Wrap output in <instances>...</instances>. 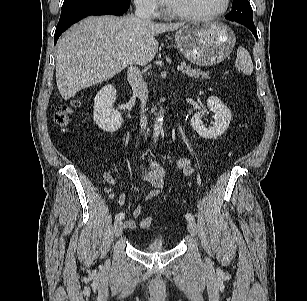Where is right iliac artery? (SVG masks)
Returning <instances> with one entry per match:
<instances>
[{"label":"right iliac artery","instance_id":"1","mask_svg":"<svg viewBox=\"0 0 307 301\" xmlns=\"http://www.w3.org/2000/svg\"><path fill=\"white\" fill-rule=\"evenodd\" d=\"M124 217H125L124 213L120 212L115 216V220L121 221L122 219H124Z\"/></svg>","mask_w":307,"mask_h":301}]
</instances>
